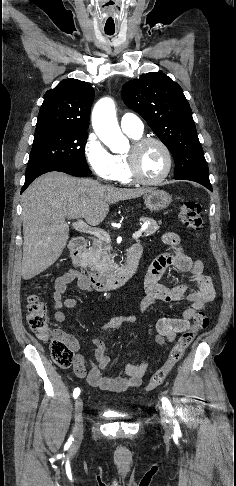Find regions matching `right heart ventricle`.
<instances>
[{"label":"right heart ventricle","mask_w":236,"mask_h":486,"mask_svg":"<svg viewBox=\"0 0 236 486\" xmlns=\"http://www.w3.org/2000/svg\"><path fill=\"white\" fill-rule=\"evenodd\" d=\"M132 139L137 140L141 138V135L128 134ZM116 162V177L115 180L122 184H130L133 180L130 177L128 165L126 161V155H114Z\"/></svg>","instance_id":"obj_1"}]
</instances>
